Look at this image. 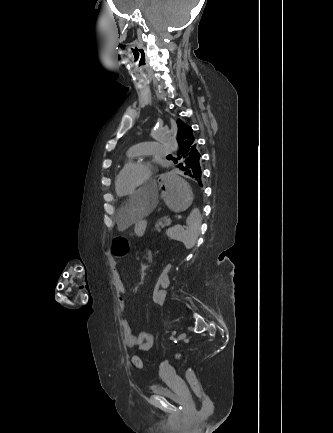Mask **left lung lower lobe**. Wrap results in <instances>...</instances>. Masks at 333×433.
I'll list each match as a JSON object with an SVG mask.
<instances>
[{"label": "left lung lower lobe", "mask_w": 333, "mask_h": 433, "mask_svg": "<svg viewBox=\"0 0 333 433\" xmlns=\"http://www.w3.org/2000/svg\"><path fill=\"white\" fill-rule=\"evenodd\" d=\"M178 158L174 159L175 168L182 171L185 175L191 177L194 181L200 184L202 171L200 166V153L197 147L196 140L193 143L179 149Z\"/></svg>", "instance_id": "1"}]
</instances>
